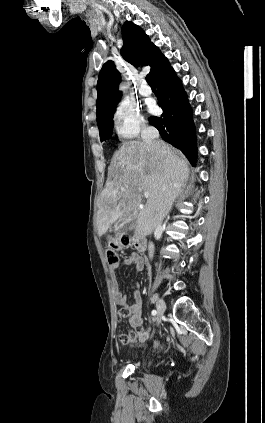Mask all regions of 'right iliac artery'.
<instances>
[{
	"instance_id": "1",
	"label": "right iliac artery",
	"mask_w": 265,
	"mask_h": 423,
	"mask_svg": "<svg viewBox=\"0 0 265 423\" xmlns=\"http://www.w3.org/2000/svg\"><path fill=\"white\" fill-rule=\"evenodd\" d=\"M157 311L156 310H152V315H156Z\"/></svg>"
}]
</instances>
